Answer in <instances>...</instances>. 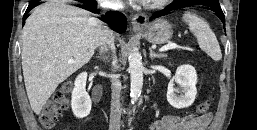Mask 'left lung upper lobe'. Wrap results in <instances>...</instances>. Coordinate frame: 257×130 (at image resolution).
<instances>
[{
  "label": "left lung upper lobe",
  "instance_id": "1",
  "mask_svg": "<svg viewBox=\"0 0 257 130\" xmlns=\"http://www.w3.org/2000/svg\"><path fill=\"white\" fill-rule=\"evenodd\" d=\"M181 1H184V0H174L173 2H181Z\"/></svg>",
  "mask_w": 257,
  "mask_h": 130
}]
</instances>
